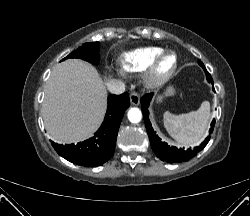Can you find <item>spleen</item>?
I'll list each match as a JSON object with an SVG mask.
<instances>
[{
  "label": "spleen",
  "instance_id": "obj_1",
  "mask_svg": "<svg viewBox=\"0 0 250 216\" xmlns=\"http://www.w3.org/2000/svg\"><path fill=\"white\" fill-rule=\"evenodd\" d=\"M210 103L202 102L197 111L175 115L164 113V126L177 142L185 146H196L204 138L209 127Z\"/></svg>",
  "mask_w": 250,
  "mask_h": 216
}]
</instances>
